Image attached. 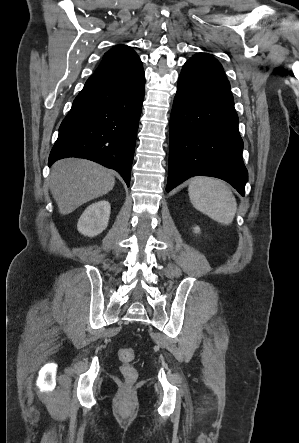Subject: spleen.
Wrapping results in <instances>:
<instances>
[{
	"label": "spleen",
	"mask_w": 299,
	"mask_h": 443,
	"mask_svg": "<svg viewBox=\"0 0 299 443\" xmlns=\"http://www.w3.org/2000/svg\"><path fill=\"white\" fill-rule=\"evenodd\" d=\"M193 206L213 220L230 224L237 209L236 200L230 188L213 178H194L188 188Z\"/></svg>",
	"instance_id": "3e777b00"
}]
</instances>
